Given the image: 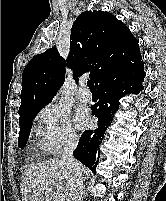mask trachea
<instances>
[{
  "instance_id": "trachea-1",
  "label": "trachea",
  "mask_w": 166,
  "mask_h": 201,
  "mask_svg": "<svg viewBox=\"0 0 166 201\" xmlns=\"http://www.w3.org/2000/svg\"><path fill=\"white\" fill-rule=\"evenodd\" d=\"M87 84H88V87H89L90 90H95L94 84H93V82L91 80H88Z\"/></svg>"
}]
</instances>
